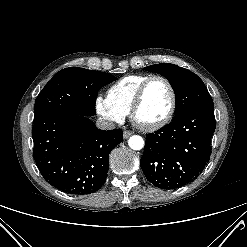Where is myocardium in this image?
Returning <instances> with one entry per match:
<instances>
[{"instance_id": "f54148a6", "label": "myocardium", "mask_w": 247, "mask_h": 247, "mask_svg": "<svg viewBox=\"0 0 247 247\" xmlns=\"http://www.w3.org/2000/svg\"><path fill=\"white\" fill-rule=\"evenodd\" d=\"M154 80H162L167 84L171 94V104L168 112L162 119L154 123L145 124L137 119V112L144 100L148 86ZM176 106H177V93L172 81L164 75H151L138 88L130 108V117L133 123L140 129L145 131H154L162 128L172 119L176 110Z\"/></svg>"}]
</instances>
